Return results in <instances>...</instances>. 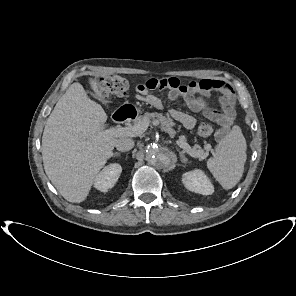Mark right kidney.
Returning a JSON list of instances; mask_svg holds the SVG:
<instances>
[{"instance_id": "1", "label": "right kidney", "mask_w": 296, "mask_h": 296, "mask_svg": "<svg viewBox=\"0 0 296 296\" xmlns=\"http://www.w3.org/2000/svg\"><path fill=\"white\" fill-rule=\"evenodd\" d=\"M121 172L122 167L117 163L104 167L94 179V187L101 192H107L117 182Z\"/></svg>"}]
</instances>
